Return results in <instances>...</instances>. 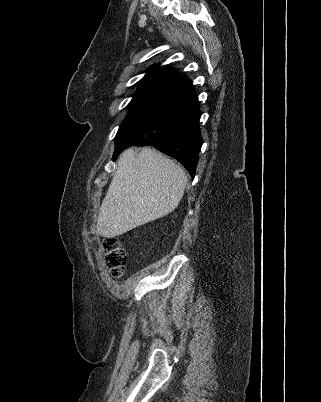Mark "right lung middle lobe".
Returning <instances> with one entry per match:
<instances>
[{
    "mask_svg": "<svg viewBox=\"0 0 321 402\" xmlns=\"http://www.w3.org/2000/svg\"><path fill=\"white\" fill-rule=\"evenodd\" d=\"M172 90L173 87L161 84H149L139 87L127 106L129 112L120 125L116 137L161 103Z\"/></svg>",
    "mask_w": 321,
    "mask_h": 402,
    "instance_id": "right-lung-middle-lobe-1",
    "label": "right lung middle lobe"
}]
</instances>
